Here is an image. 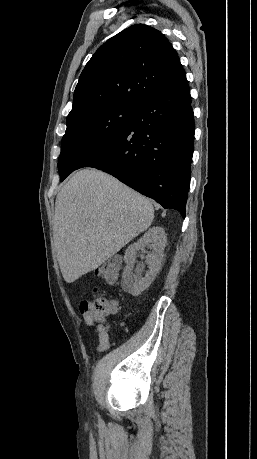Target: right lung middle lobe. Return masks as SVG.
<instances>
[{
  "label": "right lung middle lobe",
  "mask_w": 257,
  "mask_h": 459,
  "mask_svg": "<svg viewBox=\"0 0 257 459\" xmlns=\"http://www.w3.org/2000/svg\"><path fill=\"white\" fill-rule=\"evenodd\" d=\"M135 110L136 107L112 106L68 123L58 162L60 181L117 138L129 125Z\"/></svg>",
  "instance_id": "right-lung-middle-lobe-1"
}]
</instances>
